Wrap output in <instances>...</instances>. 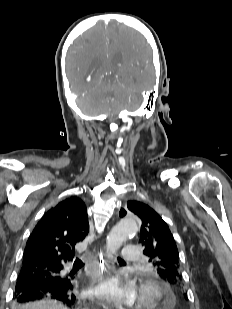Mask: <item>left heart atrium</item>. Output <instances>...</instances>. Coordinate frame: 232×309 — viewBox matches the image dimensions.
<instances>
[{
	"mask_svg": "<svg viewBox=\"0 0 232 309\" xmlns=\"http://www.w3.org/2000/svg\"><path fill=\"white\" fill-rule=\"evenodd\" d=\"M93 293L105 303L118 308L131 306L136 300L135 286L116 277L102 279L94 287Z\"/></svg>",
	"mask_w": 232,
	"mask_h": 309,
	"instance_id": "39dd6f15",
	"label": "left heart atrium"
}]
</instances>
